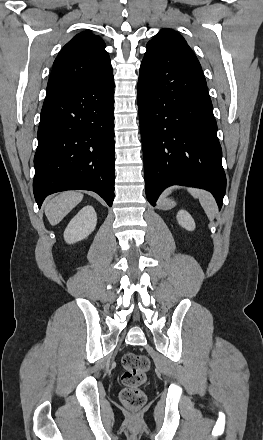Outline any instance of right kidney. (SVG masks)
<instances>
[{"mask_svg": "<svg viewBox=\"0 0 263 440\" xmlns=\"http://www.w3.org/2000/svg\"><path fill=\"white\" fill-rule=\"evenodd\" d=\"M97 215L90 205L83 207L64 231V240L73 244L87 238L95 229Z\"/></svg>", "mask_w": 263, "mask_h": 440, "instance_id": "1", "label": "right kidney"}]
</instances>
